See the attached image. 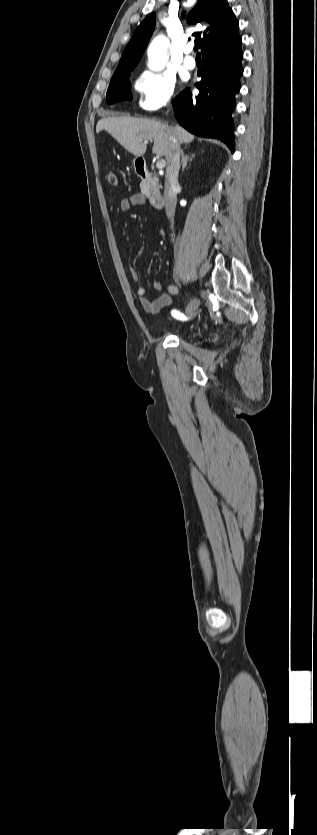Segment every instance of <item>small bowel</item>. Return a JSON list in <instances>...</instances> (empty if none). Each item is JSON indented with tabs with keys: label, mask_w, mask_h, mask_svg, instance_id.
I'll return each instance as SVG.
<instances>
[{
	"label": "small bowel",
	"mask_w": 317,
	"mask_h": 835,
	"mask_svg": "<svg viewBox=\"0 0 317 835\" xmlns=\"http://www.w3.org/2000/svg\"><path fill=\"white\" fill-rule=\"evenodd\" d=\"M145 198L140 194L132 195L131 197L125 198L120 202V209L123 212L130 211L134 207L144 203ZM130 274L134 281L139 280V273L135 267L130 268ZM152 288L155 291L162 290V284L159 281H154L152 283ZM178 293V287L174 284H170L167 286V290L165 293L161 294L156 299H149L146 296V289L144 287H139L137 289V295L139 297L140 304L144 308V310L148 313L156 314L160 312L164 307L169 306L172 302V296ZM192 308H196L197 304L194 302L189 303ZM197 309V308H196ZM195 309V310H196ZM194 310V311H195Z\"/></svg>",
	"instance_id": "obj_1"
}]
</instances>
